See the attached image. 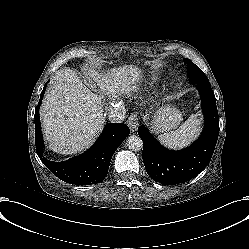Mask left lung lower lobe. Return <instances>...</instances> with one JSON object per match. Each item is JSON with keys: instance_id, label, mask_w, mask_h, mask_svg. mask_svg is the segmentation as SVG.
<instances>
[{"instance_id": "1", "label": "left lung lower lobe", "mask_w": 249, "mask_h": 249, "mask_svg": "<svg viewBox=\"0 0 249 249\" xmlns=\"http://www.w3.org/2000/svg\"><path fill=\"white\" fill-rule=\"evenodd\" d=\"M202 101L205 127L200 138L181 151L163 148L141 125L138 134L143 141V162L147 173L156 182L179 184L197 176L210 162L218 135L219 116L210 83L196 82Z\"/></svg>"}]
</instances>
